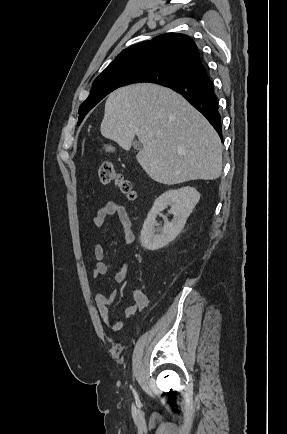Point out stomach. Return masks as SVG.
<instances>
[{
	"label": "stomach",
	"mask_w": 287,
	"mask_h": 434,
	"mask_svg": "<svg viewBox=\"0 0 287 434\" xmlns=\"http://www.w3.org/2000/svg\"><path fill=\"white\" fill-rule=\"evenodd\" d=\"M108 150H113V148L112 147H108Z\"/></svg>",
	"instance_id": "1"
}]
</instances>
